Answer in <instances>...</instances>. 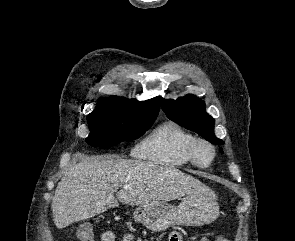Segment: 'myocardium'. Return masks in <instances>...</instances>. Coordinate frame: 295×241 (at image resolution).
Instances as JSON below:
<instances>
[{
	"instance_id": "myocardium-1",
	"label": "myocardium",
	"mask_w": 295,
	"mask_h": 241,
	"mask_svg": "<svg viewBox=\"0 0 295 241\" xmlns=\"http://www.w3.org/2000/svg\"><path fill=\"white\" fill-rule=\"evenodd\" d=\"M202 148H206L210 152V159L207 162H202L199 158V153ZM189 156L193 164L201 168H207L215 161L216 148L210 141L197 138L190 147Z\"/></svg>"
}]
</instances>
